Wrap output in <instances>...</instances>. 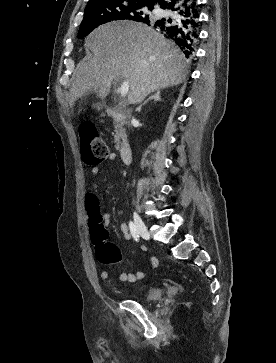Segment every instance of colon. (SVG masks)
<instances>
[{"label": "colon", "instance_id": "colon-1", "mask_svg": "<svg viewBox=\"0 0 276 363\" xmlns=\"http://www.w3.org/2000/svg\"><path fill=\"white\" fill-rule=\"evenodd\" d=\"M82 142L81 151L88 164L101 163L108 154L107 146L92 123H85L79 129ZM89 210V225L92 240L96 246V257L104 264H113L121 260L119 248L107 241V230L96 215L95 209Z\"/></svg>", "mask_w": 276, "mask_h": 363}]
</instances>
